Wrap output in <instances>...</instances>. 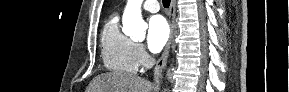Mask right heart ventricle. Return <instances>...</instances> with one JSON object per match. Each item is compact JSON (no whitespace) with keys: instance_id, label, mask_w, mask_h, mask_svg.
Listing matches in <instances>:
<instances>
[{"instance_id":"obj_1","label":"right heart ventricle","mask_w":289,"mask_h":92,"mask_svg":"<svg viewBox=\"0 0 289 92\" xmlns=\"http://www.w3.org/2000/svg\"><path fill=\"white\" fill-rule=\"evenodd\" d=\"M101 56L105 67L113 72L133 74L138 70L135 43L120 30L119 18L112 15L101 32Z\"/></svg>"}]
</instances>
